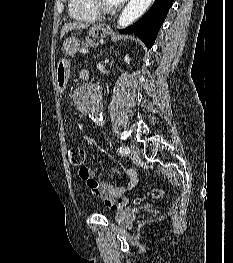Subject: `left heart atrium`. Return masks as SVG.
<instances>
[{
  "label": "left heart atrium",
  "mask_w": 233,
  "mask_h": 263,
  "mask_svg": "<svg viewBox=\"0 0 233 263\" xmlns=\"http://www.w3.org/2000/svg\"><path fill=\"white\" fill-rule=\"evenodd\" d=\"M117 4L122 3L124 0H115Z\"/></svg>",
  "instance_id": "1"
}]
</instances>
